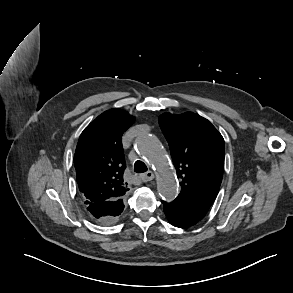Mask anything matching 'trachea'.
<instances>
[{
	"instance_id": "obj_1",
	"label": "trachea",
	"mask_w": 293,
	"mask_h": 293,
	"mask_svg": "<svg viewBox=\"0 0 293 293\" xmlns=\"http://www.w3.org/2000/svg\"><path fill=\"white\" fill-rule=\"evenodd\" d=\"M134 171H135L136 173H144V172L147 171V166L145 165L144 162L138 160V161H136L135 164H134Z\"/></svg>"
}]
</instances>
